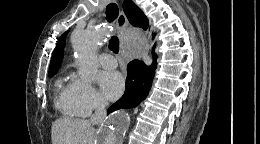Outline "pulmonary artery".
<instances>
[{"instance_id": "obj_1", "label": "pulmonary artery", "mask_w": 260, "mask_h": 144, "mask_svg": "<svg viewBox=\"0 0 260 144\" xmlns=\"http://www.w3.org/2000/svg\"><path fill=\"white\" fill-rule=\"evenodd\" d=\"M99 61L101 66L105 69H113L117 67V61L111 54H101L99 56Z\"/></svg>"}]
</instances>
